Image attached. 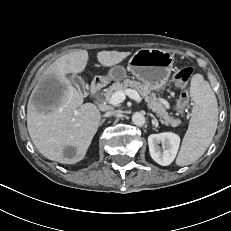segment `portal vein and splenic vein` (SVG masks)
Instances as JSON below:
<instances>
[{"instance_id": "18ae733b", "label": "portal vein and splenic vein", "mask_w": 231, "mask_h": 231, "mask_svg": "<svg viewBox=\"0 0 231 231\" xmlns=\"http://www.w3.org/2000/svg\"><path fill=\"white\" fill-rule=\"evenodd\" d=\"M126 95L135 100L138 103L142 102V98L140 97V95L138 94V92H136L133 89H126L125 91H117L115 92L109 99V103L112 105H118L120 103H122L125 98Z\"/></svg>"}]
</instances>
